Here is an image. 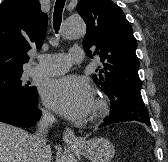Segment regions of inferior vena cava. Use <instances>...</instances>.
Wrapping results in <instances>:
<instances>
[{"instance_id":"1","label":"inferior vena cava","mask_w":168,"mask_h":162,"mask_svg":"<svg viewBox=\"0 0 168 162\" xmlns=\"http://www.w3.org/2000/svg\"><path fill=\"white\" fill-rule=\"evenodd\" d=\"M55 123V117L44 111L37 124V132L30 136L29 148L27 152V162H45L51 149L46 144V134L50 127Z\"/></svg>"}]
</instances>
